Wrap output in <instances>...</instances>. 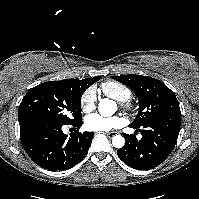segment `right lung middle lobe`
I'll return each mask as SVG.
<instances>
[{"label": "right lung middle lobe", "instance_id": "obj_1", "mask_svg": "<svg viewBox=\"0 0 199 199\" xmlns=\"http://www.w3.org/2000/svg\"><path fill=\"white\" fill-rule=\"evenodd\" d=\"M84 91L66 80L39 84L24 96L18 119H45L62 124L77 122L82 119L80 100Z\"/></svg>", "mask_w": 199, "mask_h": 199}]
</instances>
